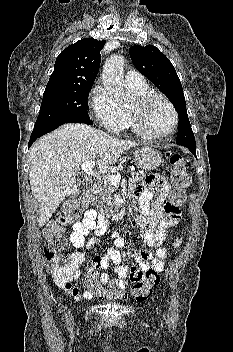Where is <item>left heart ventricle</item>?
I'll return each instance as SVG.
<instances>
[{
  "label": "left heart ventricle",
  "instance_id": "b2bd125f",
  "mask_svg": "<svg viewBox=\"0 0 233 352\" xmlns=\"http://www.w3.org/2000/svg\"><path fill=\"white\" fill-rule=\"evenodd\" d=\"M135 102L130 110H135ZM142 124L152 133H164L170 129L173 121L172 113L166 103L160 99H154L141 111Z\"/></svg>",
  "mask_w": 233,
  "mask_h": 352
}]
</instances>
